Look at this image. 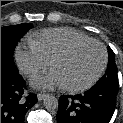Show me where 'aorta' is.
Returning <instances> with one entry per match:
<instances>
[{"label":"aorta","mask_w":123,"mask_h":123,"mask_svg":"<svg viewBox=\"0 0 123 123\" xmlns=\"http://www.w3.org/2000/svg\"><path fill=\"white\" fill-rule=\"evenodd\" d=\"M43 105L47 111H55L58 109V99L53 95H46L43 100Z\"/></svg>","instance_id":"1"}]
</instances>
